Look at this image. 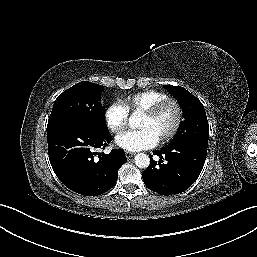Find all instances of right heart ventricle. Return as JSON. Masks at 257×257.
<instances>
[{
	"label": "right heart ventricle",
	"mask_w": 257,
	"mask_h": 257,
	"mask_svg": "<svg viewBox=\"0 0 257 257\" xmlns=\"http://www.w3.org/2000/svg\"><path fill=\"white\" fill-rule=\"evenodd\" d=\"M168 94L162 91L149 89L127 96L123 103L128 111L133 113L143 112L154 104L168 98Z\"/></svg>",
	"instance_id": "1"
}]
</instances>
